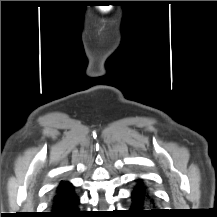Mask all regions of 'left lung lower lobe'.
Masks as SVG:
<instances>
[{
	"label": "left lung lower lobe",
	"instance_id": "1",
	"mask_svg": "<svg viewBox=\"0 0 217 217\" xmlns=\"http://www.w3.org/2000/svg\"><path fill=\"white\" fill-rule=\"evenodd\" d=\"M131 198L130 213L134 217H160L163 214L160 209H156L154 199L142 181L138 180L131 193Z\"/></svg>",
	"mask_w": 217,
	"mask_h": 217
}]
</instances>
